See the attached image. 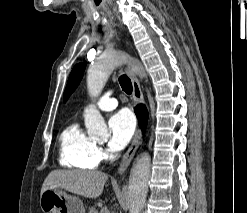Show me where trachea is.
I'll list each match as a JSON object with an SVG mask.
<instances>
[{
    "label": "trachea",
    "instance_id": "trachea-1",
    "mask_svg": "<svg viewBox=\"0 0 247 213\" xmlns=\"http://www.w3.org/2000/svg\"><path fill=\"white\" fill-rule=\"evenodd\" d=\"M118 80L122 90L130 95L133 90L131 80L125 74L121 75Z\"/></svg>",
    "mask_w": 247,
    "mask_h": 213
}]
</instances>
